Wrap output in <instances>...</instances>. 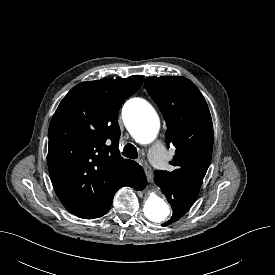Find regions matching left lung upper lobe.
Instances as JSON below:
<instances>
[{
	"instance_id": "1",
	"label": "left lung upper lobe",
	"mask_w": 275,
	"mask_h": 275,
	"mask_svg": "<svg viewBox=\"0 0 275 275\" xmlns=\"http://www.w3.org/2000/svg\"><path fill=\"white\" fill-rule=\"evenodd\" d=\"M145 87L165 118L167 145L176 147L170 162L174 170L156 171L171 182L200 189L213 149V125L206 100L184 77H148Z\"/></svg>"
}]
</instances>
